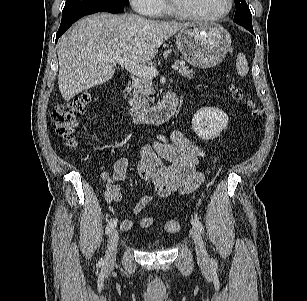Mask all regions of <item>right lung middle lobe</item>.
<instances>
[{"instance_id": "1", "label": "right lung middle lobe", "mask_w": 307, "mask_h": 301, "mask_svg": "<svg viewBox=\"0 0 307 301\" xmlns=\"http://www.w3.org/2000/svg\"><path fill=\"white\" fill-rule=\"evenodd\" d=\"M113 4L119 6H127L128 0H67L62 11L67 14L93 5Z\"/></svg>"}]
</instances>
